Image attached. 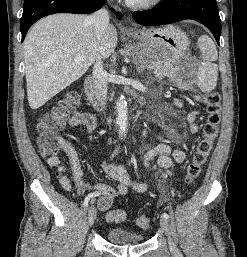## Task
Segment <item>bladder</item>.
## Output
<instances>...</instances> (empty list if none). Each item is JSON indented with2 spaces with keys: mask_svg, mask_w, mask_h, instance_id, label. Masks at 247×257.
I'll list each match as a JSON object with an SVG mask.
<instances>
[{
  "mask_svg": "<svg viewBox=\"0 0 247 257\" xmlns=\"http://www.w3.org/2000/svg\"><path fill=\"white\" fill-rule=\"evenodd\" d=\"M106 238L109 242L117 245H130L142 243L144 235L135 233L120 227H113L106 231Z\"/></svg>",
  "mask_w": 247,
  "mask_h": 257,
  "instance_id": "31cf9c89",
  "label": "bladder"
}]
</instances>
